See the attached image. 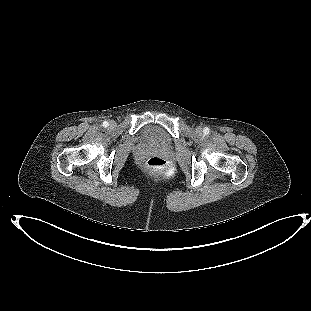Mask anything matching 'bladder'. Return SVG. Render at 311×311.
I'll use <instances>...</instances> for the list:
<instances>
[{
    "label": "bladder",
    "mask_w": 311,
    "mask_h": 311,
    "mask_svg": "<svg viewBox=\"0 0 311 311\" xmlns=\"http://www.w3.org/2000/svg\"><path fill=\"white\" fill-rule=\"evenodd\" d=\"M143 138L153 145H168L171 142L168 132L159 125L147 126L143 131Z\"/></svg>",
    "instance_id": "bladder-1"
}]
</instances>
